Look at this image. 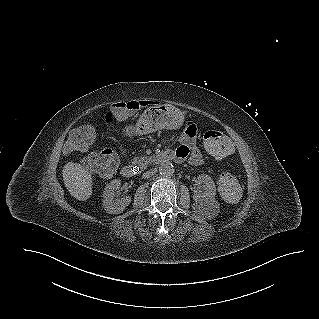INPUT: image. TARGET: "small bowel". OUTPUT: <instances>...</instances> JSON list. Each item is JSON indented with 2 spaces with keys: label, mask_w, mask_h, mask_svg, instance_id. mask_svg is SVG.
I'll return each mask as SVG.
<instances>
[{
  "label": "small bowel",
  "mask_w": 319,
  "mask_h": 319,
  "mask_svg": "<svg viewBox=\"0 0 319 319\" xmlns=\"http://www.w3.org/2000/svg\"><path fill=\"white\" fill-rule=\"evenodd\" d=\"M142 107L138 101H128L127 99H116L114 105L101 114L99 127L103 131H108L114 126L116 120L123 121L128 115L133 114ZM185 132L178 139V146L172 150L175 160L182 161L188 159L193 165L203 163V155L196 144V135L200 132V125L196 121L183 123Z\"/></svg>",
  "instance_id": "c3829d8e"
}]
</instances>
